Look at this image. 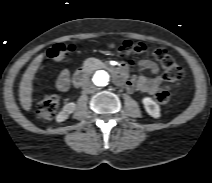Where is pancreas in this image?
<instances>
[{"label": "pancreas", "instance_id": "pancreas-1", "mask_svg": "<svg viewBox=\"0 0 212 183\" xmlns=\"http://www.w3.org/2000/svg\"><path fill=\"white\" fill-rule=\"evenodd\" d=\"M97 61L98 60L95 58H90V59H87L84 64L88 65V64L96 63Z\"/></svg>", "mask_w": 212, "mask_h": 183}]
</instances>
